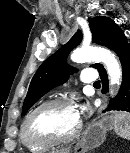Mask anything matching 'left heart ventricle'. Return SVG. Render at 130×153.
Wrapping results in <instances>:
<instances>
[{"label":"left heart ventricle","mask_w":130,"mask_h":153,"mask_svg":"<svg viewBox=\"0 0 130 153\" xmlns=\"http://www.w3.org/2000/svg\"><path fill=\"white\" fill-rule=\"evenodd\" d=\"M79 117L74 106H53L39 112L31 122L34 135L66 137L76 128Z\"/></svg>","instance_id":"1"}]
</instances>
